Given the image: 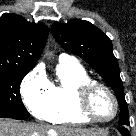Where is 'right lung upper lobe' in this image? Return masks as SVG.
<instances>
[{
    "instance_id": "1",
    "label": "right lung upper lobe",
    "mask_w": 136,
    "mask_h": 136,
    "mask_svg": "<svg viewBox=\"0 0 136 136\" xmlns=\"http://www.w3.org/2000/svg\"><path fill=\"white\" fill-rule=\"evenodd\" d=\"M48 28L20 15L0 17V70L31 71L45 46Z\"/></svg>"
}]
</instances>
